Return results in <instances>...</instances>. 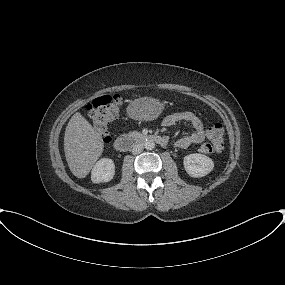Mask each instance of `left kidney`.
I'll use <instances>...</instances> for the list:
<instances>
[{"label":"left kidney","mask_w":285,"mask_h":285,"mask_svg":"<svg viewBox=\"0 0 285 285\" xmlns=\"http://www.w3.org/2000/svg\"><path fill=\"white\" fill-rule=\"evenodd\" d=\"M184 168L186 172L195 178L209 174L214 168V162L206 155L194 153L184 157Z\"/></svg>","instance_id":"5707ae66"}]
</instances>
